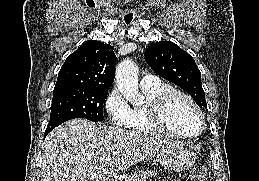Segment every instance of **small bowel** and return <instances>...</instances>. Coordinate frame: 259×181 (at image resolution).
<instances>
[{
    "instance_id": "1",
    "label": "small bowel",
    "mask_w": 259,
    "mask_h": 181,
    "mask_svg": "<svg viewBox=\"0 0 259 181\" xmlns=\"http://www.w3.org/2000/svg\"><path fill=\"white\" fill-rule=\"evenodd\" d=\"M170 181H178V180H170Z\"/></svg>"
}]
</instances>
